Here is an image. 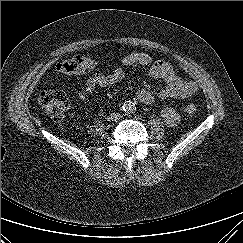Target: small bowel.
I'll return each mask as SVG.
<instances>
[{"instance_id":"obj_1","label":"small bowel","mask_w":243,"mask_h":243,"mask_svg":"<svg viewBox=\"0 0 243 243\" xmlns=\"http://www.w3.org/2000/svg\"><path fill=\"white\" fill-rule=\"evenodd\" d=\"M123 68L146 69L152 78L164 81L165 87L157 92L147 89H141L137 92V98L143 104H152L157 99H184L197 91V84L192 80L182 78L169 63L154 60L145 53H133L124 57L121 67L115 68L111 73H95L89 76L86 79L85 88L78 95L79 100L86 104L89 97L98 88H106L121 81L124 77ZM162 117L169 126H175L179 121V115L173 107L164 108Z\"/></svg>"}]
</instances>
